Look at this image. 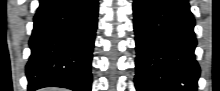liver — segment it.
Segmentation results:
<instances>
[{"label":"liver","mask_w":220,"mask_h":91,"mask_svg":"<svg viewBox=\"0 0 220 91\" xmlns=\"http://www.w3.org/2000/svg\"><path fill=\"white\" fill-rule=\"evenodd\" d=\"M43 91H55V90H43Z\"/></svg>","instance_id":"6515ba94"}]
</instances>
